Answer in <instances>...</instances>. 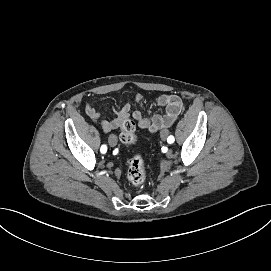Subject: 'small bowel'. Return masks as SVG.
I'll return each instance as SVG.
<instances>
[{
	"mask_svg": "<svg viewBox=\"0 0 271 271\" xmlns=\"http://www.w3.org/2000/svg\"><path fill=\"white\" fill-rule=\"evenodd\" d=\"M142 101V96L137 95L134 103ZM157 105L164 109L163 113H155L151 116H146L141 111H134L131 114L132 103H126L123 107L116 109V118L113 120H101L100 125L105 133H110L122 125L129 119L130 115L137 121L141 129H146L150 132H156L162 128L171 126L183 110V103L179 96L174 94H162L157 98ZM86 115L93 121L100 119V113L90 104H85Z\"/></svg>",
	"mask_w": 271,
	"mask_h": 271,
	"instance_id": "c3829d8e",
	"label": "small bowel"
}]
</instances>
